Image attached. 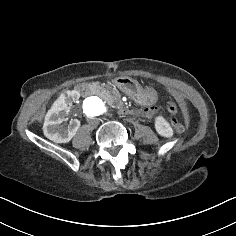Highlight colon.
Listing matches in <instances>:
<instances>
[{"instance_id":"colon-1","label":"colon","mask_w":236,"mask_h":236,"mask_svg":"<svg viewBox=\"0 0 236 236\" xmlns=\"http://www.w3.org/2000/svg\"><path fill=\"white\" fill-rule=\"evenodd\" d=\"M168 112L171 115L172 119V127L176 132H182L184 130V126L178 121V107L174 102H169L167 105Z\"/></svg>"}]
</instances>
